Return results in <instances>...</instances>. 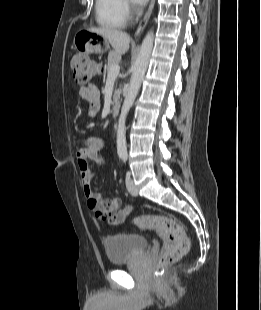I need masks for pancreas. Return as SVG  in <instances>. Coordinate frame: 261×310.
<instances>
[{
  "mask_svg": "<svg viewBox=\"0 0 261 310\" xmlns=\"http://www.w3.org/2000/svg\"><path fill=\"white\" fill-rule=\"evenodd\" d=\"M120 60H121V56L118 53L111 51L108 54V62H107V66H106L107 73L113 65L119 64ZM119 97H120V91L115 90L114 95H113L114 103L118 102Z\"/></svg>",
  "mask_w": 261,
  "mask_h": 310,
  "instance_id": "pancreas-1",
  "label": "pancreas"
}]
</instances>
